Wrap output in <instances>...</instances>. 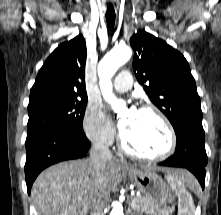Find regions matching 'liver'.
<instances>
[{
	"mask_svg": "<svg viewBox=\"0 0 221 215\" xmlns=\"http://www.w3.org/2000/svg\"><path fill=\"white\" fill-rule=\"evenodd\" d=\"M180 177L181 170H168ZM120 179V168L108 161L102 178L96 176L89 159L68 161L44 170L35 180L31 196L38 215H87L96 192L106 201Z\"/></svg>",
	"mask_w": 221,
	"mask_h": 215,
	"instance_id": "6515ba94",
	"label": "liver"
}]
</instances>
